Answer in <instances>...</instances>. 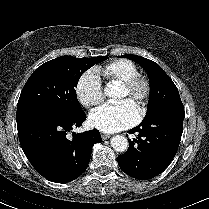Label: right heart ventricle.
<instances>
[{
	"label": "right heart ventricle",
	"mask_w": 209,
	"mask_h": 209,
	"mask_svg": "<svg viewBox=\"0 0 209 209\" xmlns=\"http://www.w3.org/2000/svg\"><path fill=\"white\" fill-rule=\"evenodd\" d=\"M96 73L108 83L120 85L138 74V68L130 60L117 59L97 68Z\"/></svg>",
	"instance_id": "1"
}]
</instances>
